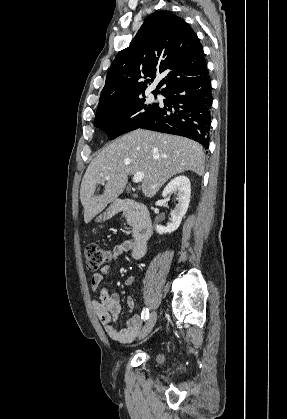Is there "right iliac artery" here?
Instances as JSON below:
<instances>
[{
    "label": "right iliac artery",
    "mask_w": 287,
    "mask_h": 419,
    "mask_svg": "<svg viewBox=\"0 0 287 419\" xmlns=\"http://www.w3.org/2000/svg\"><path fill=\"white\" fill-rule=\"evenodd\" d=\"M141 318L145 321L149 318V310L148 308H144L141 313Z\"/></svg>",
    "instance_id": "1"
}]
</instances>
